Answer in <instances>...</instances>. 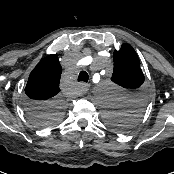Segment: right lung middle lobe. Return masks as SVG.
<instances>
[{"label": "right lung middle lobe", "instance_id": "obj_1", "mask_svg": "<svg viewBox=\"0 0 174 174\" xmlns=\"http://www.w3.org/2000/svg\"><path fill=\"white\" fill-rule=\"evenodd\" d=\"M65 105L62 99L27 105V112L32 122L38 127H50L60 122L64 116Z\"/></svg>", "mask_w": 174, "mask_h": 174}]
</instances>
